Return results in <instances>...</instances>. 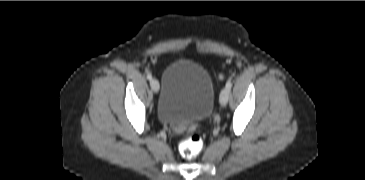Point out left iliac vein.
<instances>
[{"mask_svg":"<svg viewBox=\"0 0 365 180\" xmlns=\"http://www.w3.org/2000/svg\"><path fill=\"white\" fill-rule=\"evenodd\" d=\"M229 93H230V90L226 87L221 91L220 99H219L221 106H225L227 104L228 99H229Z\"/></svg>","mask_w":365,"mask_h":180,"instance_id":"4c4485c4","label":"left iliac vein"}]
</instances>
